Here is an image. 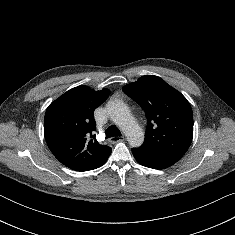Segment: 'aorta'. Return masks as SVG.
I'll return each instance as SVG.
<instances>
[{
    "label": "aorta",
    "instance_id": "aorta-1",
    "mask_svg": "<svg viewBox=\"0 0 235 235\" xmlns=\"http://www.w3.org/2000/svg\"><path fill=\"white\" fill-rule=\"evenodd\" d=\"M107 112L110 119L122 129L132 147L142 145L144 133L124 102L120 100L109 101Z\"/></svg>",
    "mask_w": 235,
    "mask_h": 235
}]
</instances>
